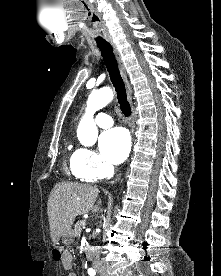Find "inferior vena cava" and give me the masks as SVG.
<instances>
[{
  "instance_id": "1",
  "label": "inferior vena cava",
  "mask_w": 221,
  "mask_h": 276,
  "mask_svg": "<svg viewBox=\"0 0 221 276\" xmlns=\"http://www.w3.org/2000/svg\"><path fill=\"white\" fill-rule=\"evenodd\" d=\"M114 175V167L112 165L108 166L107 168V176L112 177ZM90 261H92L93 266L97 269L102 265V262L100 261V251L99 247L95 246L93 247L90 255H89Z\"/></svg>"
}]
</instances>
